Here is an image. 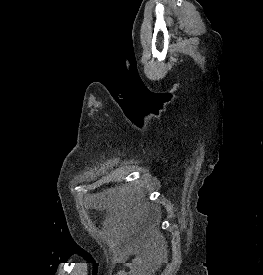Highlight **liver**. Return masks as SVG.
<instances>
[{
	"label": "liver",
	"instance_id": "obj_1",
	"mask_svg": "<svg viewBox=\"0 0 263 275\" xmlns=\"http://www.w3.org/2000/svg\"><path fill=\"white\" fill-rule=\"evenodd\" d=\"M94 198L103 204L105 203L108 208L117 211L116 213L122 219L129 222H132L139 215L150 211L146 204L142 206L140 202L134 203L133 193L128 188L110 189L95 195ZM157 236L160 235L157 234Z\"/></svg>",
	"mask_w": 263,
	"mask_h": 275
}]
</instances>
